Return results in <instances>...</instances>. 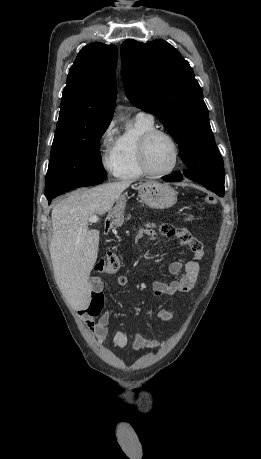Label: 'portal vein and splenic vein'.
<instances>
[{"label":"portal vein and splenic vein","mask_w":261,"mask_h":459,"mask_svg":"<svg viewBox=\"0 0 261 459\" xmlns=\"http://www.w3.org/2000/svg\"><path fill=\"white\" fill-rule=\"evenodd\" d=\"M99 218L96 215H93L89 218V222L96 223L98 222Z\"/></svg>","instance_id":"portal-vein-and-splenic-vein-1"}]
</instances>
